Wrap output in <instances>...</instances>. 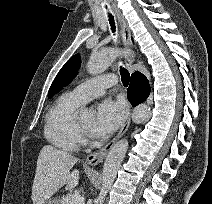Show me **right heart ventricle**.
<instances>
[{"label": "right heart ventricle", "mask_w": 212, "mask_h": 204, "mask_svg": "<svg viewBox=\"0 0 212 204\" xmlns=\"http://www.w3.org/2000/svg\"><path fill=\"white\" fill-rule=\"evenodd\" d=\"M81 105L71 93L61 95L54 102L44 125V136L50 144L68 152L79 149L81 136L77 130L75 113Z\"/></svg>", "instance_id": "obj_1"}]
</instances>
